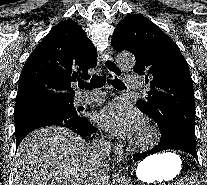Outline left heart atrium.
I'll return each mask as SVG.
<instances>
[{
    "instance_id": "1",
    "label": "left heart atrium",
    "mask_w": 207,
    "mask_h": 185,
    "mask_svg": "<svg viewBox=\"0 0 207 185\" xmlns=\"http://www.w3.org/2000/svg\"><path fill=\"white\" fill-rule=\"evenodd\" d=\"M97 120L106 130L123 138L136 137L144 127L143 116L126 100L114 101L101 109Z\"/></svg>"
}]
</instances>
